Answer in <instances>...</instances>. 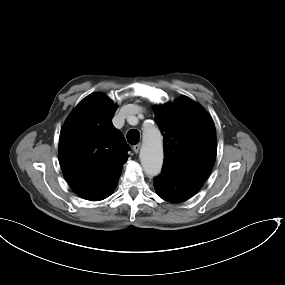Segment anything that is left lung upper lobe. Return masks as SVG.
Segmentation results:
<instances>
[{"mask_svg": "<svg viewBox=\"0 0 285 285\" xmlns=\"http://www.w3.org/2000/svg\"><path fill=\"white\" fill-rule=\"evenodd\" d=\"M154 112L164 137L163 171L203 184L217 153L211 116L186 96L156 106Z\"/></svg>", "mask_w": 285, "mask_h": 285, "instance_id": "left-lung-upper-lobe-1", "label": "left lung upper lobe"}]
</instances>
